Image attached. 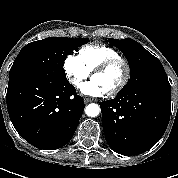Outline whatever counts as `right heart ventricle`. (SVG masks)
<instances>
[{
	"label": "right heart ventricle",
	"mask_w": 178,
	"mask_h": 178,
	"mask_svg": "<svg viewBox=\"0 0 178 178\" xmlns=\"http://www.w3.org/2000/svg\"><path fill=\"white\" fill-rule=\"evenodd\" d=\"M79 58L89 72L94 71L103 62L120 57V54L104 44L87 45L79 50Z\"/></svg>",
	"instance_id": "obj_1"
}]
</instances>
